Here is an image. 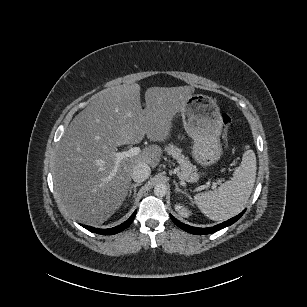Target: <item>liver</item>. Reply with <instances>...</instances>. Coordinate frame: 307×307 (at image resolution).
I'll use <instances>...</instances> for the list:
<instances>
[{
	"label": "liver",
	"instance_id": "obj_1",
	"mask_svg": "<svg viewBox=\"0 0 307 307\" xmlns=\"http://www.w3.org/2000/svg\"><path fill=\"white\" fill-rule=\"evenodd\" d=\"M192 86L151 87L141 107L136 83L98 92L70 123L53 162V181L58 203L81 223L99 225L124 201L132 171L138 162L156 165L157 146L136 156L124 157L111 179L119 145L139 143L145 135L164 140L171 120L190 97Z\"/></svg>",
	"mask_w": 307,
	"mask_h": 307
}]
</instances>
